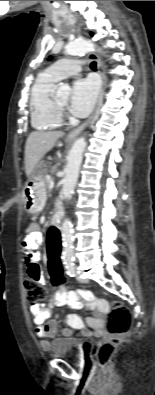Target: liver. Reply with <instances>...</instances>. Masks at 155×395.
Here are the masks:
<instances>
[{
  "mask_svg": "<svg viewBox=\"0 0 155 395\" xmlns=\"http://www.w3.org/2000/svg\"><path fill=\"white\" fill-rule=\"evenodd\" d=\"M64 136L62 131H34L30 133L25 145V173L29 178L39 161L52 150L58 139Z\"/></svg>",
  "mask_w": 155,
  "mask_h": 395,
  "instance_id": "6515ba94",
  "label": "liver"
}]
</instances>
